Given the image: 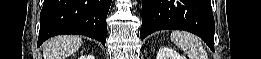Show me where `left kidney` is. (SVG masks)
Listing matches in <instances>:
<instances>
[{"label":"left kidney","mask_w":261,"mask_h":59,"mask_svg":"<svg viewBox=\"0 0 261 59\" xmlns=\"http://www.w3.org/2000/svg\"><path fill=\"white\" fill-rule=\"evenodd\" d=\"M157 59H183V57L171 48L162 47L157 53Z\"/></svg>","instance_id":"1"}]
</instances>
